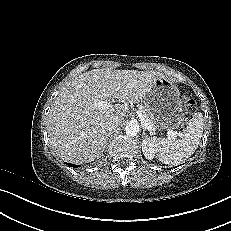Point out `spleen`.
<instances>
[{
    "label": "spleen",
    "mask_w": 231,
    "mask_h": 231,
    "mask_svg": "<svg viewBox=\"0 0 231 231\" xmlns=\"http://www.w3.org/2000/svg\"><path fill=\"white\" fill-rule=\"evenodd\" d=\"M203 134V115L195 113L179 135H169L156 141V154L164 164L176 165L189 158L198 148Z\"/></svg>",
    "instance_id": "1"
}]
</instances>
